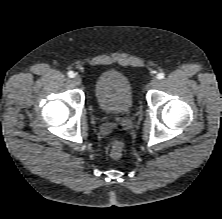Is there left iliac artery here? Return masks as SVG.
<instances>
[{"mask_svg":"<svg viewBox=\"0 0 222 219\" xmlns=\"http://www.w3.org/2000/svg\"><path fill=\"white\" fill-rule=\"evenodd\" d=\"M164 77H165V74L162 72L157 74L158 79H163Z\"/></svg>","mask_w":222,"mask_h":219,"instance_id":"1","label":"left iliac artery"}]
</instances>
